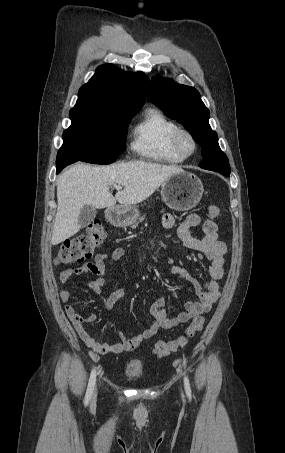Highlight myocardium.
<instances>
[{"instance_id":"myocardium-1","label":"myocardium","mask_w":285,"mask_h":453,"mask_svg":"<svg viewBox=\"0 0 285 453\" xmlns=\"http://www.w3.org/2000/svg\"><path fill=\"white\" fill-rule=\"evenodd\" d=\"M183 139H188L191 143V149L186 150L183 147ZM173 146L175 150L183 157L191 156L197 149V141L194 135L185 128H178L173 137Z\"/></svg>"}]
</instances>
